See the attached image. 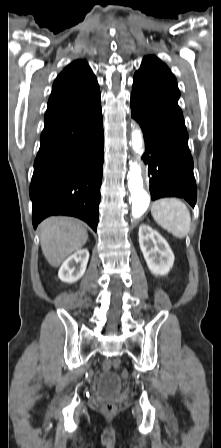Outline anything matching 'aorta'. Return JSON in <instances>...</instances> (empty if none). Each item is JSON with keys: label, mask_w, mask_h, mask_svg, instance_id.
Returning <instances> with one entry per match:
<instances>
[{"label": "aorta", "mask_w": 221, "mask_h": 448, "mask_svg": "<svg viewBox=\"0 0 221 448\" xmlns=\"http://www.w3.org/2000/svg\"><path fill=\"white\" fill-rule=\"evenodd\" d=\"M132 148L136 153H142L143 138L141 131L135 129L131 134ZM128 189L131 194L132 215L135 218L140 217L148 208L150 196L143 189V179L141 168L137 163L130 162V170L127 175Z\"/></svg>", "instance_id": "1"}]
</instances>
